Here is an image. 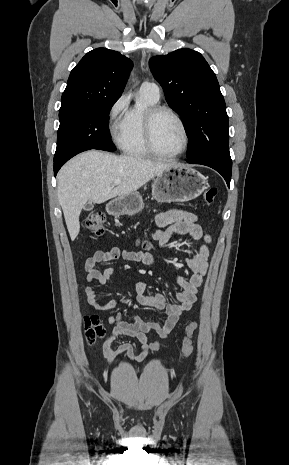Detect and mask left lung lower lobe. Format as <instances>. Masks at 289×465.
<instances>
[{"mask_svg": "<svg viewBox=\"0 0 289 465\" xmlns=\"http://www.w3.org/2000/svg\"><path fill=\"white\" fill-rule=\"evenodd\" d=\"M187 162L192 164H202L215 169L224 177L228 187L230 186L232 162L216 158L187 159Z\"/></svg>", "mask_w": 289, "mask_h": 465, "instance_id": "0a47b994", "label": "left lung lower lobe"}]
</instances>
